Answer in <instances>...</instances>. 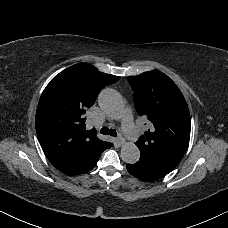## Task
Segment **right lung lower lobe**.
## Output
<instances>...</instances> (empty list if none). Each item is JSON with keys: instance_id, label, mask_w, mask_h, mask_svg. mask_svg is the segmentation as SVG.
<instances>
[{"instance_id": "1", "label": "right lung lower lobe", "mask_w": 228, "mask_h": 228, "mask_svg": "<svg viewBox=\"0 0 228 228\" xmlns=\"http://www.w3.org/2000/svg\"><path fill=\"white\" fill-rule=\"evenodd\" d=\"M112 146L113 144L106 142L105 145L101 148L88 150L82 153L81 155L73 159L71 162L58 168V170L68 175H78L84 173L96 165L101 153L105 149L110 148Z\"/></svg>"}]
</instances>
